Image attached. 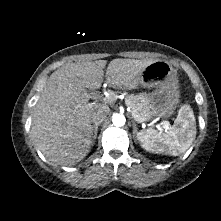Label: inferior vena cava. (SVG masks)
<instances>
[{"label": "inferior vena cava", "instance_id": "1", "mask_svg": "<svg viewBox=\"0 0 221 221\" xmlns=\"http://www.w3.org/2000/svg\"><path fill=\"white\" fill-rule=\"evenodd\" d=\"M109 108V107H108ZM106 106H98L91 114V120L94 124L101 123L106 118Z\"/></svg>", "mask_w": 221, "mask_h": 221}]
</instances>
